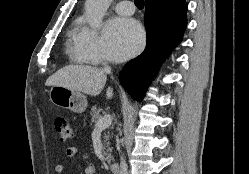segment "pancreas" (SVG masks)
Masks as SVG:
<instances>
[{
	"label": "pancreas",
	"instance_id": "cf45deb5",
	"mask_svg": "<svg viewBox=\"0 0 249 174\" xmlns=\"http://www.w3.org/2000/svg\"><path fill=\"white\" fill-rule=\"evenodd\" d=\"M101 110L97 109L95 106L92 107L90 111V117H91V122L96 123L100 118H102L100 114ZM110 134L108 133L107 135L103 136V142H104V148H103V155L105 156V161H107L108 164L111 163L112 156L110 152L112 151V147H110Z\"/></svg>",
	"mask_w": 249,
	"mask_h": 174
}]
</instances>
